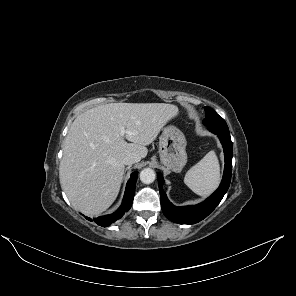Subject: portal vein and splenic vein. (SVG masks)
Instances as JSON below:
<instances>
[{
	"mask_svg": "<svg viewBox=\"0 0 296 296\" xmlns=\"http://www.w3.org/2000/svg\"><path fill=\"white\" fill-rule=\"evenodd\" d=\"M125 133H126V131H125V129L122 127V128H121V131H120L121 136H124Z\"/></svg>",
	"mask_w": 296,
	"mask_h": 296,
	"instance_id": "obj_1",
	"label": "portal vein and splenic vein"
}]
</instances>
